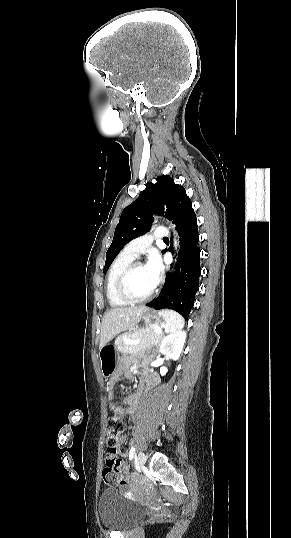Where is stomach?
I'll use <instances>...</instances> for the list:
<instances>
[{"label":"stomach","mask_w":291,"mask_h":538,"mask_svg":"<svg viewBox=\"0 0 291 538\" xmlns=\"http://www.w3.org/2000/svg\"><path fill=\"white\" fill-rule=\"evenodd\" d=\"M142 320L146 326L153 328L154 326H167L164 317L160 313L147 311L143 314ZM99 358L101 361L102 376L108 380L116 372L118 366V351L116 347L106 344L100 348Z\"/></svg>","instance_id":"obj_1"}]
</instances>
